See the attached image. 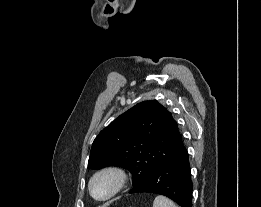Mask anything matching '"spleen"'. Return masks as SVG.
Listing matches in <instances>:
<instances>
[{
	"label": "spleen",
	"instance_id": "spleen-1",
	"mask_svg": "<svg viewBox=\"0 0 261 207\" xmlns=\"http://www.w3.org/2000/svg\"><path fill=\"white\" fill-rule=\"evenodd\" d=\"M153 207H177V206L170 199L164 196H157L154 199Z\"/></svg>",
	"mask_w": 261,
	"mask_h": 207
}]
</instances>
